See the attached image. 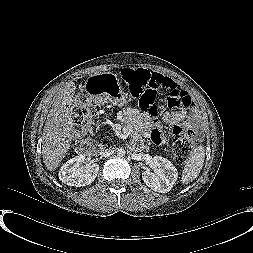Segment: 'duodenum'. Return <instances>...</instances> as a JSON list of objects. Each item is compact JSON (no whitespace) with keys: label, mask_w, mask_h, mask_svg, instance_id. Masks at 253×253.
Instances as JSON below:
<instances>
[{"label":"duodenum","mask_w":253,"mask_h":253,"mask_svg":"<svg viewBox=\"0 0 253 253\" xmlns=\"http://www.w3.org/2000/svg\"><path fill=\"white\" fill-rule=\"evenodd\" d=\"M78 149L85 155H96L100 152V149L88 139L81 141Z\"/></svg>","instance_id":"1"}]
</instances>
